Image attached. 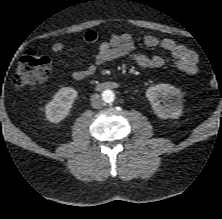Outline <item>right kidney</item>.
<instances>
[{
    "mask_svg": "<svg viewBox=\"0 0 222 219\" xmlns=\"http://www.w3.org/2000/svg\"><path fill=\"white\" fill-rule=\"evenodd\" d=\"M78 92L72 87H62L45 106V115L48 121L58 123L66 118Z\"/></svg>",
    "mask_w": 222,
    "mask_h": 219,
    "instance_id": "1",
    "label": "right kidney"
}]
</instances>
